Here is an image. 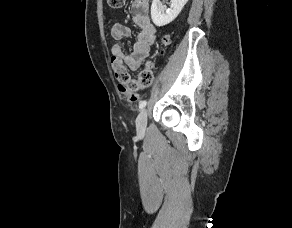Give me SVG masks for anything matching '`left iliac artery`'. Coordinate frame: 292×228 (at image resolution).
<instances>
[{
  "mask_svg": "<svg viewBox=\"0 0 292 228\" xmlns=\"http://www.w3.org/2000/svg\"><path fill=\"white\" fill-rule=\"evenodd\" d=\"M147 105V101L146 100H143L139 103V108L140 109H143L145 106Z\"/></svg>",
  "mask_w": 292,
  "mask_h": 228,
  "instance_id": "1",
  "label": "left iliac artery"
}]
</instances>
